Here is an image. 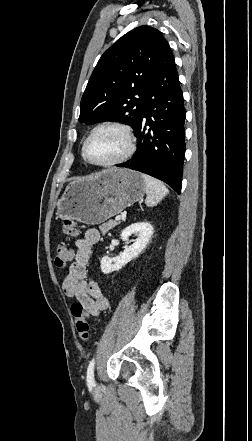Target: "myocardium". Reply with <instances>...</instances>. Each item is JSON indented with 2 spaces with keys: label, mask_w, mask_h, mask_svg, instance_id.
<instances>
[{
  "label": "myocardium",
  "mask_w": 252,
  "mask_h": 441,
  "mask_svg": "<svg viewBox=\"0 0 252 441\" xmlns=\"http://www.w3.org/2000/svg\"><path fill=\"white\" fill-rule=\"evenodd\" d=\"M115 129L121 132V134L124 136L126 141V148L124 152L117 158L108 161V162H96L89 158L87 154V145L90 141V139L100 130L102 129ZM136 150V140L134 133L130 126L121 123V122H114V121H106L102 122L98 125H96L90 133L85 138L83 145H82V157L83 159L90 165L96 166V167H102V168H109L113 166L120 165L124 162H126L135 152Z\"/></svg>",
  "instance_id": "1"
}]
</instances>
